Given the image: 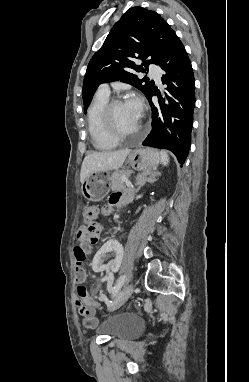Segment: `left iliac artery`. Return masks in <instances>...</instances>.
I'll list each match as a JSON object with an SVG mask.
<instances>
[{"label":"left iliac artery","mask_w":249,"mask_h":382,"mask_svg":"<svg viewBox=\"0 0 249 382\" xmlns=\"http://www.w3.org/2000/svg\"><path fill=\"white\" fill-rule=\"evenodd\" d=\"M126 280H127L126 275H122V276H120V278L118 279L116 285L110 289V291H111V293H112V297H115V296H116V294H117L118 291L121 289V287L124 285V283L126 282Z\"/></svg>","instance_id":"44dca946"}]
</instances>
